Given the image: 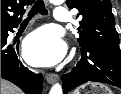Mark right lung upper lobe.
Listing matches in <instances>:
<instances>
[{
  "mask_svg": "<svg viewBox=\"0 0 121 94\" xmlns=\"http://www.w3.org/2000/svg\"><path fill=\"white\" fill-rule=\"evenodd\" d=\"M34 0H1V28L20 22L25 13L24 6L30 5Z\"/></svg>",
  "mask_w": 121,
  "mask_h": 94,
  "instance_id": "1",
  "label": "right lung upper lobe"
}]
</instances>
